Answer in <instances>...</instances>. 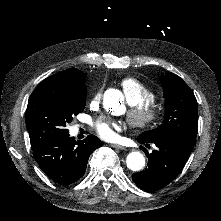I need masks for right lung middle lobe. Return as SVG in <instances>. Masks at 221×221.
Instances as JSON below:
<instances>
[{
	"label": "right lung middle lobe",
	"mask_w": 221,
	"mask_h": 221,
	"mask_svg": "<svg viewBox=\"0 0 221 221\" xmlns=\"http://www.w3.org/2000/svg\"><path fill=\"white\" fill-rule=\"evenodd\" d=\"M86 85L59 87L40 83L31 94L26 110V127L31 147L69 134L67 124L81 113L86 103Z\"/></svg>",
	"instance_id": "1"
}]
</instances>
